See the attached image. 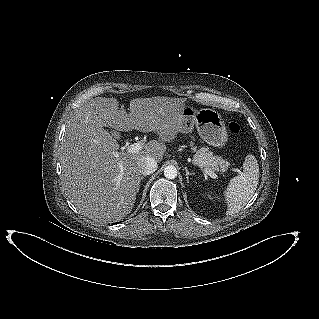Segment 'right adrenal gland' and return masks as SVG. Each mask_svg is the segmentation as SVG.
Listing matches in <instances>:
<instances>
[{"instance_id":"1","label":"right adrenal gland","mask_w":319,"mask_h":319,"mask_svg":"<svg viewBox=\"0 0 319 319\" xmlns=\"http://www.w3.org/2000/svg\"><path fill=\"white\" fill-rule=\"evenodd\" d=\"M144 177H141V179H143ZM139 188H140V182H139V184H138V186H137V192H139Z\"/></svg>"}]
</instances>
